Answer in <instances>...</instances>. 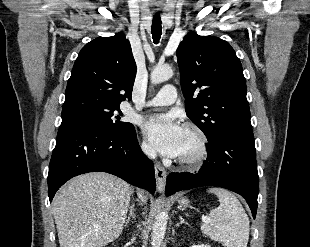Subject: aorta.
I'll return each mask as SVG.
<instances>
[{"instance_id": "762f6f07", "label": "aorta", "mask_w": 310, "mask_h": 247, "mask_svg": "<svg viewBox=\"0 0 310 247\" xmlns=\"http://www.w3.org/2000/svg\"><path fill=\"white\" fill-rule=\"evenodd\" d=\"M173 76V70L170 66H158L151 72V83L156 85L164 81L169 80ZM168 215L165 211H158L155 216V221L152 228V246L160 247L163 242L166 227H167Z\"/></svg>"}]
</instances>
